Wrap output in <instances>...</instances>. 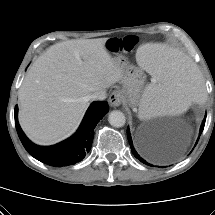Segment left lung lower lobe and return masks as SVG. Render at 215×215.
<instances>
[{
    "label": "left lung lower lobe",
    "instance_id": "0a47b994",
    "mask_svg": "<svg viewBox=\"0 0 215 215\" xmlns=\"http://www.w3.org/2000/svg\"><path fill=\"white\" fill-rule=\"evenodd\" d=\"M204 124H205V119L203 120V123L201 125V128H200V134L201 132L203 131L204 129ZM127 137H128V141H129V144H130V147H131V151L133 153V155L138 159L140 160L142 163L146 164V165H149V166H153L152 164H150L149 162H147L142 155L138 154L137 151L135 150L134 146H133V142H132V138H131V134H130V131H129V128L127 129ZM199 139V138H198ZM198 142V140H197ZM149 159H152V160H156L154 158H151V157H148Z\"/></svg>",
    "mask_w": 215,
    "mask_h": 215
}]
</instances>
